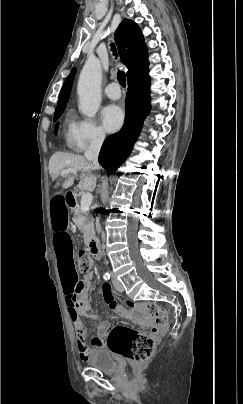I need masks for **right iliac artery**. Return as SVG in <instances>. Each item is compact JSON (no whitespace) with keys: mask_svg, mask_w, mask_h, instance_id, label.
Listing matches in <instances>:
<instances>
[{"mask_svg":"<svg viewBox=\"0 0 243 404\" xmlns=\"http://www.w3.org/2000/svg\"><path fill=\"white\" fill-rule=\"evenodd\" d=\"M103 277H104L105 280H109V279H110V274H109V273H105Z\"/></svg>","mask_w":243,"mask_h":404,"instance_id":"1","label":"right iliac artery"}]
</instances>
